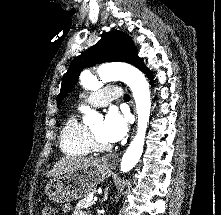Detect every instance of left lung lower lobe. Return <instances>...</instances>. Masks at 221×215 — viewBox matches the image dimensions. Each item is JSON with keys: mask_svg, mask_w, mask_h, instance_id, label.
Instances as JSON below:
<instances>
[{"mask_svg": "<svg viewBox=\"0 0 221 215\" xmlns=\"http://www.w3.org/2000/svg\"><path fill=\"white\" fill-rule=\"evenodd\" d=\"M143 72L148 76V78L151 80V82L153 83V77H152V74H151V71L148 69V68H145L143 70Z\"/></svg>", "mask_w": 221, "mask_h": 215, "instance_id": "1", "label": "left lung lower lobe"}]
</instances>
